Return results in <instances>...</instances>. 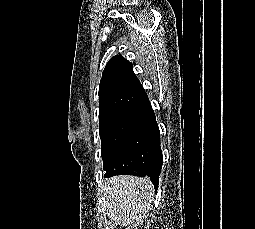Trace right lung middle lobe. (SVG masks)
I'll return each instance as SVG.
<instances>
[{"label":"right lung middle lobe","mask_w":255,"mask_h":229,"mask_svg":"<svg viewBox=\"0 0 255 229\" xmlns=\"http://www.w3.org/2000/svg\"><path fill=\"white\" fill-rule=\"evenodd\" d=\"M99 130L105 177L147 166L156 132L144 129L140 121L125 114L110 119Z\"/></svg>","instance_id":"1"}]
</instances>
